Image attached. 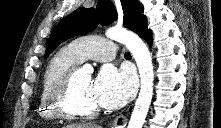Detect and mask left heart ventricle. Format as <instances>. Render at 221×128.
<instances>
[{
  "label": "left heart ventricle",
  "instance_id": "b2bd125f",
  "mask_svg": "<svg viewBox=\"0 0 221 128\" xmlns=\"http://www.w3.org/2000/svg\"><path fill=\"white\" fill-rule=\"evenodd\" d=\"M91 77L88 73L78 70L70 98V104L75 109L92 110L98 107L95 98L90 90Z\"/></svg>",
  "mask_w": 221,
  "mask_h": 128
}]
</instances>
